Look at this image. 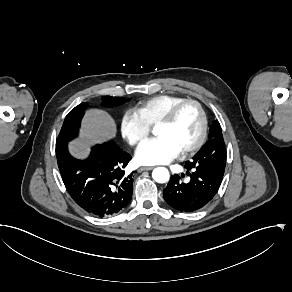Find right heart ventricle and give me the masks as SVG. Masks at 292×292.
Listing matches in <instances>:
<instances>
[{"label":"right heart ventricle","mask_w":292,"mask_h":292,"mask_svg":"<svg viewBox=\"0 0 292 292\" xmlns=\"http://www.w3.org/2000/svg\"><path fill=\"white\" fill-rule=\"evenodd\" d=\"M183 99L186 98L178 94H159L139 101L134 109L145 123L152 127L171 105Z\"/></svg>","instance_id":"obj_1"}]
</instances>
